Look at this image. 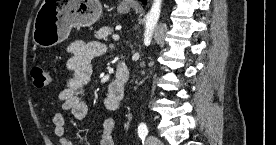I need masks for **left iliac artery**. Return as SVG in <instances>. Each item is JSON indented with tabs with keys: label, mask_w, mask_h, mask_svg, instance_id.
<instances>
[{
	"label": "left iliac artery",
	"mask_w": 276,
	"mask_h": 145,
	"mask_svg": "<svg viewBox=\"0 0 276 145\" xmlns=\"http://www.w3.org/2000/svg\"><path fill=\"white\" fill-rule=\"evenodd\" d=\"M148 134V128L145 123H141L138 126V135L141 139L145 138Z\"/></svg>",
	"instance_id": "left-iliac-artery-1"
}]
</instances>
